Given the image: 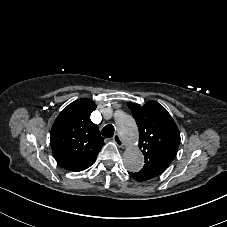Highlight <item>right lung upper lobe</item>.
Segmentation results:
<instances>
[{"label":"right lung upper lobe","mask_w":227,"mask_h":227,"mask_svg":"<svg viewBox=\"0 0 227 227\" xmlns=\"http://www.w3.org/2000/svg\"><path fill=\"white\" fill-rule=\"evenodd\" d=\"M96 105L89 99L69 104L56 118L50 133L53 155L63 168L82 171L90 167L104 145L99 128L90 120Z\"/></svg>","instance_id":"obj_1"}]
</instances>
